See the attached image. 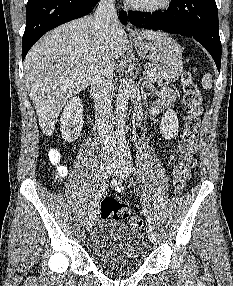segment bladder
<instances>
[{"instance_id": "bladder-1", "label": "bladder", "mask_w": 233, "mask_h": 286, "mask_svg": "<svg viewBox=\"0 0 233 286\" xmlns=\"http://www.w3.org/2000/svg\"><path fill=\"white\" fill-rule=\"evenodd\" d=\"M88 250L94 264L105 271L139 269L150 253L144 236L115 219H104L91 235Z\"/></svg>"}]
</instances>
